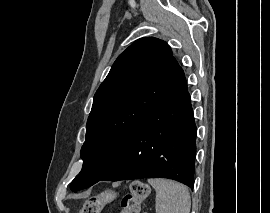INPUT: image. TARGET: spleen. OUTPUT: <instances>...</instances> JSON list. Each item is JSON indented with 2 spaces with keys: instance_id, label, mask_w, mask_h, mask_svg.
Segmentation results:
<instances>
[{
  "instance_id": "3e777b00",
  "label": "spleen",
  "mask_w": 270,
  "mask_h": 213,
  "mask_svg": "<svg viewBox=\"0 0 270 213\" xmlns=\"http://www.w3.org/2000/svg\"><path fill=\"white\" fill-rule=\"evenodd\" d=\"M148 183L156 190V213H190V194L183 184L163 178H150Z\"/></svg>"
}]
</instances>
